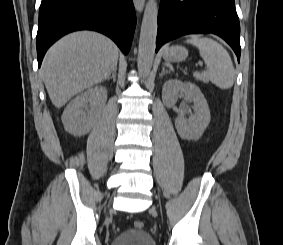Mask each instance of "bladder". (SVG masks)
I'll return each instance as SVG.
<instances>
[{
  "instance_id": "obj_1",
  "label": "bladder",
  "mask_w": 283,
  "mask_h": 245,
  "mask_svg": "<svg viewBox=\"0 0 283 245\" xmlns=\"http://www.w3.org/2000/svg\"><path fill=\"white\" fill-rule=\"evenodd\" d=\"M111 245H156V243L146 230L127 229L115 236Z\"/></svg>"
}]
</instances>
